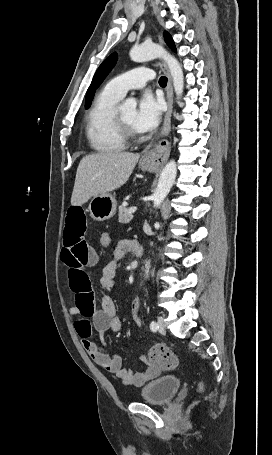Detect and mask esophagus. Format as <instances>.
Returning <instances> with one entry per match:
<instances>
[{
    "label": "esophagus",
    "instance_id": "1",
    "mask_svg": "<svg viewBox=\"0 0 272 455\" xmlns=\"http://www.w3.org/2000/svg\"><path fill=\"white\" fill-rule=\"evenodd\" d=\"M160 41L163 42L162 36H160ZM161 69L166 74L168 78L166 93H167V103H168V110L165 115L163 127L160 132V139L151 142L142 153L143 160L150 161L157 165H163L170 154V143L167 140V136L170 132V121H171V114H172V107H173V89H172V80L171 75L169 73L167 65L162 62Z\"/></svg>",
    "mask_w": 272,
    "mask_h": 455
}]
</instances>
